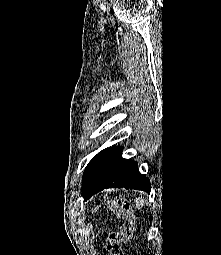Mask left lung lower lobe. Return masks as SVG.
Segmentation results:
<instances>
[{"label":"left lung lower lobe","instance_id":"0a47b994","mask_svg":"<svg viewBox=\"0 0 221 255\" xmlns=\"http://www.w3.org/2000/svg\"><path fill=\"white\" fill-rule=\"evenodd\" d=\"M122 147H110L99 152L87 165L83 174L82 195L90 198L99 191L125 187L150 192L149 179L138 170L136 162L121 157Z\"/></svg>","mask_w":221,"mask_h":255}]
</instances>
